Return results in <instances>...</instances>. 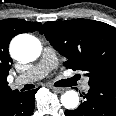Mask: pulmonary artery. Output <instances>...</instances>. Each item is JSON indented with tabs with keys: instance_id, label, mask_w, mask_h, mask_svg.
I'll return each instance as SVG.
<instances>
[{
	"instance_id": "1",
	"label": "pulmonary artery",
	"mask_w": 116,
	"mask_h": 116,
	"mask_svg": "<svg viewBox=\"0 0 116 116\" xmlns=\"http://www.w3.org/2000/svg\"><path fill=\"white\" fill-rule=\"evenodd\" d=\"M57 66V58L54 50L46 46L43 49L42 59L39 63L28 69L26 72L17 76L13 81V86L18 87L26 83L34 82L45 77L51 70ZM82 89L87 92L90 90L89 78H84L82 81Z\"/></svg>"
}]
</instances>
